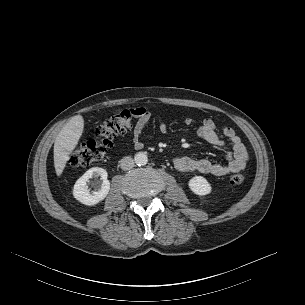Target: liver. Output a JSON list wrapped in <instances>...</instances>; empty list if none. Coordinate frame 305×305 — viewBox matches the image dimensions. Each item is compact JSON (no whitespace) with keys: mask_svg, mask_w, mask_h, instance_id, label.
I'll return each mask as SVG.
<instances>
[{"mask_svg":"<svg viewBox=\"0 0 305 305\" xmlns=\"http://www.w3.org/2000/svg\"><path fill=\"white\" fill-rule=\"evenodd\" d=\"M84 130L81 115L73 116L61 129L54 142V167L58 177L63 173L70 154L77 146Z\"/></svg>","mask_w":305,"mask_h":305,"instance_id":"obj_1","label":"liver"}]
</instances>
